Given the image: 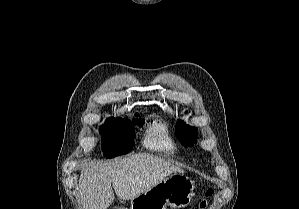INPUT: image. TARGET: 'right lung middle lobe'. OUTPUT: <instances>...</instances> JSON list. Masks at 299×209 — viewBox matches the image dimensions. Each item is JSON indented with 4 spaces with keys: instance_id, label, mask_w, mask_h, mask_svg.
<instances>
[{
    "instance_id": "right-lung-middle-lobe-1",
    "label": "right lung middle lobe",
    "mask_w": 299,
    "mask_h": 209,
    "mask_svg": "<svg viewBox=\"0 0 299 209\" xmlns=\"http://www.w3.org/2000/svg\"><path fill=\"white\" fill-rule=\"evenodd\" d=\"M143 121H141V124ZM102 147L107 158L128 153L134 146L133 125L128 119L110 118L101 128Z\"/></svg>"
}]
</instances>
